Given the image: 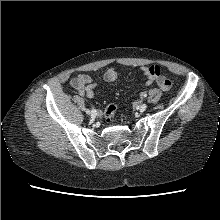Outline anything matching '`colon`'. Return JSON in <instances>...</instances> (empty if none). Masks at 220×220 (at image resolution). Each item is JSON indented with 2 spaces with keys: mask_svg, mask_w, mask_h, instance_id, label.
Masks as SVG:
<instances>
[{
  "mask_svg": "<svg viewBox=\"0 0 220 220\" xmlns=\"http://www.w3.org/2000/svg\"><path fill=\"white\" fill-rule=\"evenodd\" d=\"M151 72L155 75L156 82L162 90L168 91L171 89V80L162 72V70L158 66H152ZM116 111L117 105L115 103L108 104L105 108V117L108 120H112L115 117Z\"/></svg>",
  "mask_w": 220,
  "mask_h": 220,
  "instance_id": "1",
  "label": "colon"
}]
</instances>
